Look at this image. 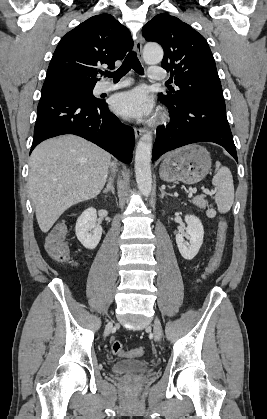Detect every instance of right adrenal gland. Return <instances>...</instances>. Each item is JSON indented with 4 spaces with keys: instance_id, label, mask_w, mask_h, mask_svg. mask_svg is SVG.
Here are the masks:
<instances>
[{
    "instance_id": "obj_1",
    "label": "right adrenal gland",
    "mask_w": 267,
    "mask_h": 419,
    "mask_svg": "<svg viewBox=\"0 0 267 419\" xmlns=\"http://www.w3.org/2000/svg\"><path fill=\"white\" fill-rule=\"evenodd\" d=\"M111 192L113 195H115V188H114V180L113 178H109L108 184L106 188L103 190V193Z\"/></svg>"
}]
</instances>
